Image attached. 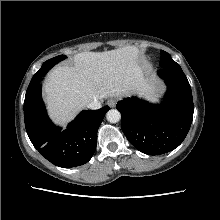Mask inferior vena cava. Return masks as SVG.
I'll list each match as a JSON object with an SVG mask.
<instances>
[{"label": "inferior vena cava", "mask_w": 220, "mask_h": 220, "mask_svg": "<svg viewBox=\"0 0 220 220\" xmlns=\"http://www.w3.org/2000/svg\"><path fill=\"white\" fill-rule=\"evenodd\" d=\"M101 106H102L101 101L98 99H95L94 101H92L91 103H89L87 105V108L92 109V110H96V109L101 108Z\"/></svg>", "instance_id": "obj_1"}]
</instances>
